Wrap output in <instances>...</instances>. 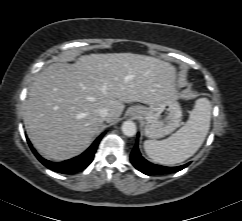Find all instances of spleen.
Masks as SVG:
<instances>
[{"mask_svg":"<svg viewBox=\"0 0 242 221\" xmlns=\"http://www.w3.org/2000/svg\"><path fill=\"white\" fill-rule=\"evenodd\" d=\"M211 109L207 98H199L190 112L188 121L176 133L161 141L144 142L148 157L162 165H174L193 156L209 131Z\"/></svg>","mask_w":242,"mask_h":221,"instance_id":"1","label":"spleen"}]
</instances>
